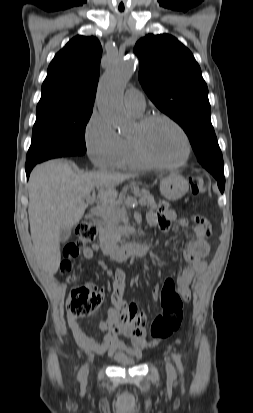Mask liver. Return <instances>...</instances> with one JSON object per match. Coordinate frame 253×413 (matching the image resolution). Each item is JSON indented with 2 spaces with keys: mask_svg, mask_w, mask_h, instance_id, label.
I'll return each mask as SVG.
<instances>
[{
  "mask_svg": "<svg viewBox=\"0 0 253 413\" xmlns=\"http://www.w3.org/2000/svg\"><path fill=\"white\" fill-rule=\"evenodd\" d=\"M132 176L107 171L77 173L72 163L60 159L33 169L28 184V214L34 249L44 270L51 275L58 271L60 230L79 223L87 208L84 198L98 188L102 206L111 205L118 195L116 187Z\"/></svg>",
  "mask_w": 253,
  "mask_h": 413,
  "instance_id": "liver-1",
  "label": "liver"
}]
</instances>
